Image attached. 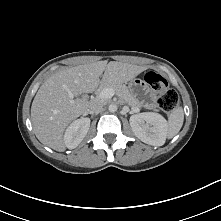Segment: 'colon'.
<instances>
[{
    "label": "colon",
    "mask_w": 221,
    "mask_h": 221,
    "mask_svg": "<svg viewBox=\"0 0 221 221\" xmlns=\"http://www.w3.org/2000/svg\"><path fill=\"white\" fill-rule=\"evenodd\" d=\"M145 82L158 93L157 104L165 112L173 111L178 103V93L169 88L167 80L156 72H149L145 75Z\"/></svg>",
    "instance_id": "1"
}]
</instances>
